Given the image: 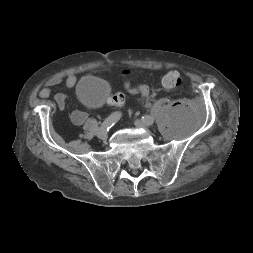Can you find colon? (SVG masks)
I'll use <instances>...</instances> for the list:
<instances>
[{"mask_svg": "<svg viewBox=\"0 0 253 253\" xmlns=\"http://www.w3.org/2000/svg\"><path fill=\"white\" fill-rule=\"evenodd\" d=\"M124 74L130 75L131 71L125 70ZM180 83H181V77H180V74L176 71H171V72L167 73L162 79V84L166 88L177 87ZM124 88L127 91L137 93L142 97H147V96H149V93H150L149 88L147 86H145V85L132 86L128 80L124 81ZM107 102L110 105L122 107L125 103V97L120 92L113 93L109 96Z\"/></svg>", "mask_w": 253, "mask_h": 253, "instance_id": "5ec220e1", "label": "colon"}]
</instances>
